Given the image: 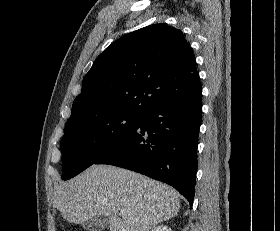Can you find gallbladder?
<instances>
[{
  "label": "gallbladder",
  "mask_w": 280,
  "mask_h": 231,
  "mask_svg": "<svg viewBox=\"0 0 280 231\" xmlns=\"http://www.w3.org/2000/svg\"><path fill=\"white\" fill-rule=\"evenodd\" d=\"M81 225L84 229H88V231H100V229L107 227L108 221L104 215H96V217L82 221Z\"/></svg>",
  "instance_id": "1"
}]
</instances>
